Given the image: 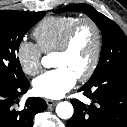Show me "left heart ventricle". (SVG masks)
<instances>
[{
  "mask_svg": "<svg viewBox=\"0 0 127 127\" xmlns=\"http://www.w3.org/2000/svg\"><path fill=\"white\" fill-rule=\"evenodd\" d=\"M94 46V31L89 25H84L78 30L67 53L54 54L53 66L65 67L78 77L87 70Z\"/></svg>",
  "mask_w": 127,
  "mask_h": 127,
  "instance_id": "left-heart-ventricle-1",
  "label": "left heart ventricle"
}]
</instances>
